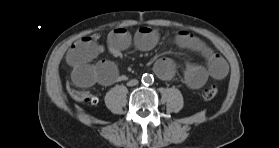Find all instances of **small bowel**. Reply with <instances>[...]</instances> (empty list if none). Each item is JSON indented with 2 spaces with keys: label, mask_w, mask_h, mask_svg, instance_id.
Returning <instances> with one entry per match:
<instances>
[{
  "label": "small bowel",
  "mask_w": 279,
  "mask_h": 148,
  "mask_svg": "<svg viewBox=\"0 0 279 148\" xmlns=\"http://www.w3.org/2000/svg\"><path fill=\"white\" fill-rule=\"evenodd\" d=\"M100 35L93 34L75 42L66 54V60L72 67V80L82 88L94 84L110 86L120 78L113 62L101 60L95 64L91 62L104 51L99 43ZM159 36L152 27L139 28L134 36L124 28H116L107 38V50L114 56H119L132 43L140 50H150L158 42ZM177 43L184 48L199 53L206 61V66L188 62L184 70V82L190 88H200L209 77L223 79L228 73V65L224 58L214 52L202 40L194 35L182 31L176 36ZM155 72L163 80H170L175 74V64L170 58H160L154 65Z\"/></svg>",
  "instance_id": "small-bowel-1"
}]
</instances>
